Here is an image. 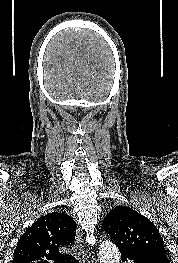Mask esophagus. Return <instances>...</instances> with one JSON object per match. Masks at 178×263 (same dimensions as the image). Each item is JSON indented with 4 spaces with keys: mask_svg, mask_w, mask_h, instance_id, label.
I'll list each match as a JSON object with an SVG mask.
<instances>
[{
    "mask_svg": "<svg viewBox=\"0 0 178 263\" xmlns=\"http://www.w3.org/2000/svg\"><path fill=\"white\" fill-rule=\"evenodd\" d=\"M82 236H83L82 230L80 228L77 229V232H76V243H77V246L79 248H81V246H82V242H83ZM85 256H86V254L84 255V252H83V261L84 262L87 261V258Z\"/></svg>",
    "mask_w": 178,
    "mask_h": 263,
    "instance_id": "obj_1",
    "label": "esophagus"
}]
</instances>
